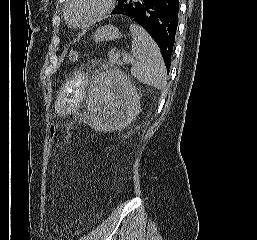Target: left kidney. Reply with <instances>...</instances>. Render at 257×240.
I'll use <instances>...</instances> for the list:
<instances>
[{
  "label": "left kidney",
  "mask_w": 257,
  "mask_h": 240,
  "mask_svg": "<svg viewBox=\"0 0 257 240\" xmlns=\"http://www.w3.org/2000/svg\"><path fill=\"white\" fill-rule=\"evenodd\" d=\"M89 124L100 132L126 128L140 112V95L120 71L100 74L89 96Z\"/></svg>",
  "instance_id": "left-kidney-1"
}]
</instances>
